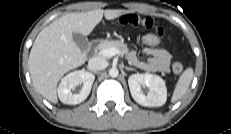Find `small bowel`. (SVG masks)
Here are the masks:
<instances>
[{
    "label": "small bowel",
    "mask_w": 231,
    "mask_h": 134,
    "mask_svg": "<svg viewBox=\"0 0 231 134\" xmlns=\"http://www.w3.org/2000/svg\"><path fill=\"white\" fill-rule=\"evenodd\" d=\"M117 21L121 26L142 27L153 31L158 36H163L165 33L164 28L153 18H142L135 13L120 14ZM144 52L148 55L145 60L139 59L134 52H130L129 58L135 66L147 71H167L169 69L171 54L168 50L159 47H146Z\"/></svg>",
    "instance_id": "small-bowel-1"
}]
</instances>
